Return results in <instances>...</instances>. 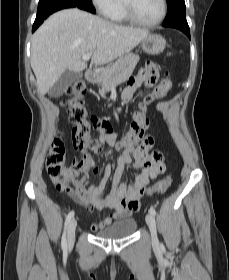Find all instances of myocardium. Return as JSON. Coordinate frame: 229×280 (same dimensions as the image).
I'll return each mask as SVG.
<instances>
[{
	"mask_svg": "<svg viewBox=\"0 0 229 280\" xmlns=\"http://www.w3.org/2000/svg\"><path fill=\"white\" fill-rule=\"evenodd\" d=\"M122 2H123V9H124L127 19L135 25L144 26V27H152V26L158 25L159 23H161L163 21V19L165 18L166 14H167L168 6H167L166 0H161V3H162L161 13L156 19H154L152 21H143V20L139 19L138 17H136V15L133 12L131 0H122Z\"/></svg>",
	"mask_w": 229,
	"mask_h": 280,
	"instance_id": "obj_1",
	"label": "myocardium"
}]
</instances>
